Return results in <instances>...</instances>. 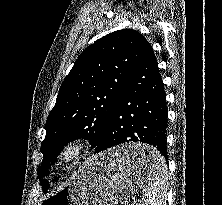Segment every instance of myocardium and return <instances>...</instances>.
Masks as SVG:
<instances>
[{
    "instance_id": "f54148a6",
    "label": "myocardium",
    "mask_w": 222,
    "mask_h": 205,
    "mask_svg": "<svg viewBox=\"0 0 222 205\" xmlns=\"http://www.w3.org/2000/svg\"><path fill=\"white\" fill-rule=\"evenodd\" d=\"M89 149V143L84 138H74L66 141L58 152V161L63 167H69L80 161Z\"/></svg>"
}]
</instances>
